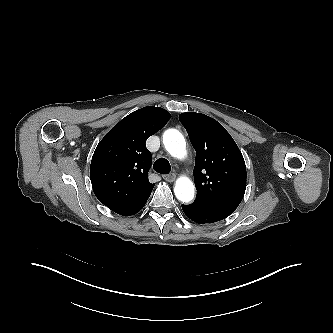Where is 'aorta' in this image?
Returning <instances> with one entry per match:
<instances>
[{
  "label": "aorta",
  "instance_id": "obj_1",
  "mask_svg": "<svg viewBox=\"0 0 333 333\" xmlns=\"http://www.w3.org/2000/svg\"><path fill=\"white\" fill-rule=\"evenodd\" d=\"M163 144L167 152L178 159L186 155V142L184 136L176 129H168L163 134ZM195 187L188 177H180L176 180L174 193L176 198L188 203L194 198Z\"/></svg>",
  "mask_w": 333,
  "mask_h": 333
}]
</instances>
